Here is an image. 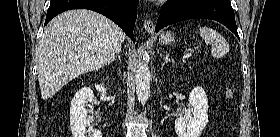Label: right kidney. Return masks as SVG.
<instances>
[{"mask_svg": "<svg viewBox=\"0 0 280 137\" xmlns=\"http://www.w3.org/2000/svg\"><path fill=\"white\" fill-rule=\"evenodd\" d=\"M96 90L106 93L103 85H95ZM94 101V93L90 87L80 89L73 97L70 107V128L73 137H102L99 130L90 129L86 131L88 125V110L86 106ZM87 132L89 135H87ZM90 132L92 134L90 135Z\"/></svg>", "mask_w": 280, "mask_h": 137, "instance_id": "obj_1", "label": "right kidney"}]
</instances>
